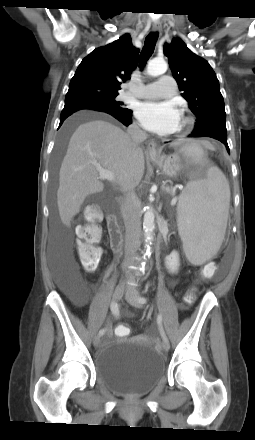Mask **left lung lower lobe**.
<instances>
[{
	"instance_id": "obj_1",
	"label": "left lung lower lobe",
	"mask_w": 255,
	"mask_h": 440,
	"mask_svg": "<svg viewBox=\"0 0 255 440\" xmlns=\"http://www.w3.org/2000/svg\"><path fill=\"white\" fill-rule=\"evenodd\" d=\"M188 137L214 138V139L222 142L226 146V149H227L228 153L230 154L228 143H227V132L217 130V129H208V130L199 131V132H192L190 135H188Z\"/></svg>"
}]
</instances>
